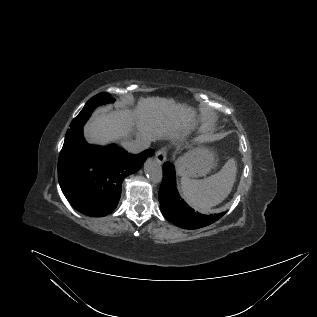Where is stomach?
<instances>
[{
    "label": "stomach",
    "mask_w": 317,
    "mask_h": 317,
    "mask_svg": "<svg viewBox=\"0 0 317 317\" xmlns=\"http://www.w3.org/2000/svg\"><path fill=\"white\" fill-rule=\"evenodd\" d=\"M216 163L215 153L204 147L192 149L176 160L177 172L187 177L205 176Z\"/></svg>",
    "instance_id": "0dacf381"
}]
</instances>
